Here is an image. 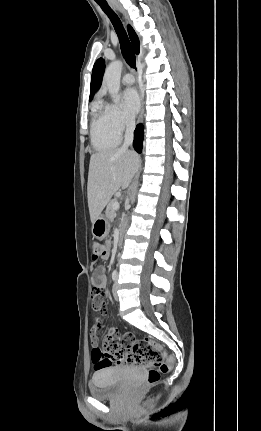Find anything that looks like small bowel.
<instances>
[{
  "instance_id": "small-bowel-1",
  "label": "small bowel",
  "mask_w": 261,
  "mask_h": 431,
  "mask_svg": "<svg viewBox=\"0 0 261 431\" xmlns=\"http://www.w3.org/2000/svg\"><path fill=\"white\" fill-rule=\"evenodd\" d=\"M107 257V255L105 256ZM92 283H93V290L91 291L90 300H91V306L92 310L95 313V315L98 316V320H96L92 324V331H90L89 336L92 340V344H97V336L101 335V328L103 327L102 322L105 321V314L104 310L106 309V306L104 305L106 303V300L103 298L105 296L104 288L107 285V275L105 272V269L102 266H97L93 270L92 275ZM109 333L111 335H117L118 330L116 328H111L109 330ZM97 349V348H96ZM94 362V358H93ZM113 364H122V362L116 361L112 359Z\"/></svg>"
}]
</instances>
